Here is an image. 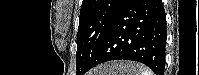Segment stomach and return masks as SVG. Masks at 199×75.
<instances>
[{
    "label": "stomach",
    "instance_id": "stomach-1",
    "mask_svg": "<svg viewBox=\"0 0 199 75\" xmlns=\"http://www.w3.org/2000/svg\"><path fill=\"white\" fill-rule=\"evenodd\" d=\"M138 65L133 62L120 61L99 66L95 75H137Z\"/></svg>",
    "mask_w": 199,
    "mask_h": 75
}]
</instances>
